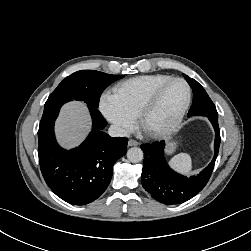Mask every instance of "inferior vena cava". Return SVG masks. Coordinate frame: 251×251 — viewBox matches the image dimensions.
<instances>
[{"mask_svg": "<svg viewBox=\"0 0 251 251\" xmlns=\"http://www.w3.org/2000/svg\"><path fill=\"white\" fill-rule=\"evenodd\" d=\"M108 133L112 137H129L130 133L119 125H111Z\"/></svg>", "mask_w": 251, "mask_h": 251, "instance_id": "inferior-vena-cava-1", "label": "inferior vena cava"}]
</instances>
